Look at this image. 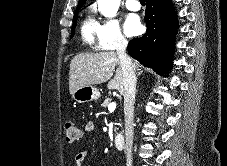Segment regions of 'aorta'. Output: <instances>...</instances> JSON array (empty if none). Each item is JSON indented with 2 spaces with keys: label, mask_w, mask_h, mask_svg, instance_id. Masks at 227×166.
Masks as SVG:
<instances>
[{
  "label": "aorta",
  "mask_w": 227,
  "mask_h": 166,
  "mask_svg": "<svg viewBox=\"0 0 227 166\" xmlns=\"http://www.w3.org/2000/svg\"><path fill=\"white\" fill-rule=\"evenodd\" d=\"M121 0H97L98 10L107 18H112L116 15Z\"/></svg>",
  "instance_id": "762f6f07"
}]
</instances>
